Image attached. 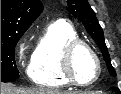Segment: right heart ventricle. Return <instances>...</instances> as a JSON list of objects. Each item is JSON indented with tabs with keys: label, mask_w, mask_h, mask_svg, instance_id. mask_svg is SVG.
Returning a JSON list of instances; mask_svg holds the SVG:
<instances>
[{
	"label": "right heart ventricle",
	"mask_w": 121,
	"mask_h": 94,
	"mask_svg": "<svg viewBox=\"0 0 121 94\" xmlns=\"http://www.w3.org/2000/svg\"><path fill=\"white\" fill-rule=\"evenodd\" d=\"M78 38L75 28L60 19L49 24L33 51L29 67L31 81L41 87L60 89L70 85L61 71V55L64 45Z\"/></svg>",
	"instance_id": "e07e8e85"
}]
</instances>
